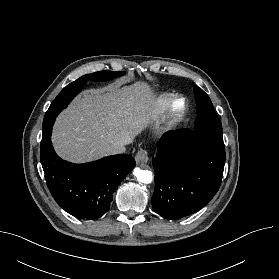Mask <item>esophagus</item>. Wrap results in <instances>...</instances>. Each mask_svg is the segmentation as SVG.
<instances>
[{"label":"esophagus","instance_id":"34e87169","mask_svg":"<svg viewBox=\"0 0 279 279\" xmlns=\"http://www.w3.org/2000/svg\"><path fill=\"white\" fill-rule=\"evenodd\" d=\"M135 160L137 164L147 163L149 161L148 152L144 149H140L135 155Z\"/></svg>","mask_w":279,"mask_h":279}]
</instances>
